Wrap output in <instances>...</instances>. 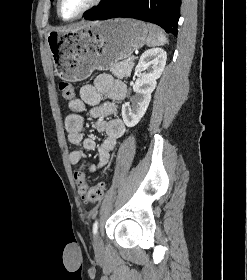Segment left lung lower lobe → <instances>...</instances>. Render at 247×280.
<instances>
[{
    "instance_id": "1",
    "label": "left lung lower lobe",
    "mask_w": 247,
    "mask_h": 280,
    "mask_svg": "<svg viewBox=\"0 0 247 280\" xmlns=\"http://www.w3.org/2000/svg\"><path fill=\"white\" fill-rule=\"evenodd\" d=\"M181 0H109L89 12L87 20L135 18L162 27L177 36Z\"/></svg>"
}]
</instances>
